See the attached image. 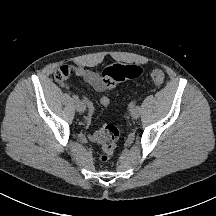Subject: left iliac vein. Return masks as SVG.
<instances>
[{
	"label": "left iliac vein",
	"instance_id": "obj_1",
	"mask_svg": "<svg viewBox=\"0 0 216 216\" xmlns=\"http://www.w3.org/2000/svg\"><path fill=\"white\" fill-rule=\"evenodd\" d=\"M130 114L132 118L137 119L140 116V108L138 106L132 108Z\"/></svg>",
	"mask_w": 216,
	"mask_h": 216
}]
</instances>
